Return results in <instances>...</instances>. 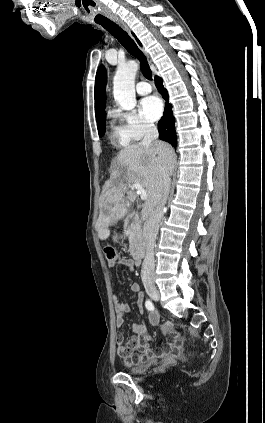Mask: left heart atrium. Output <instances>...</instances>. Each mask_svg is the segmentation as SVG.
I'll return each instance as SVG.
<instances>
[{"label": "left heart atrium", "mask_w": 265, "mask_h": 423, "mask_svg": "<svg viewBox=\"0 0 265 423\" xmlns=\"http://www.w3.org/2000/svg\"><path fill=\"white\" fill-rule=\"evenodd\" d=\"M140 111L148 120L156 121L163 112L162 101L157 96H147L140 101Z\"/></svg>", "instance_id": "39dd6f15"}]
</instances>
